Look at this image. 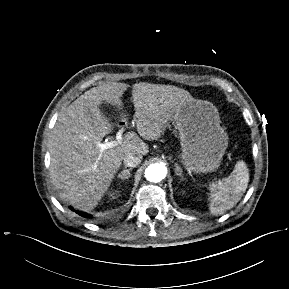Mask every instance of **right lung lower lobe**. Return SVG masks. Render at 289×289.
I'll return each instance as SVG.
<instances>
[{"label": "right lung lower lobe", "instance_id": "1", "mask_svg": "<svg viewBox=\"0 0 289 289\" xmlns=\"http://www.w3.org/2000/svg\"><path fill=\"white\" fill-rule=\"evenodd\" d=\"M70 209L72 211H75L73 208L70 207ZM78 215L82 216V217H85V218H91V215L87 214V213H83L81 211H75Z\"/></svg>", "mask_w": 289, "mask_h": 289}]
</instances>
